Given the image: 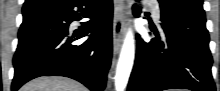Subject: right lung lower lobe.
Returning <instances> with one entry per match:
<instances>
[{"mask_svg":"<svg viewBox=\"0 0 220 91\" xmlns=\"http://www.w3.org/2000/svg\"><path fill=\"white\" fill-rule=\"evenodd\" d=\"M112 15V0H58L23 12L12 91L31 79L51 75L103 91L112 56ZM81 16L92 20L75 29L71 22Z\"/></svg>","mask_w":220,"mask_h":91,"instance_id":"1","label":"right lung lower lobe"}]
</instances>
